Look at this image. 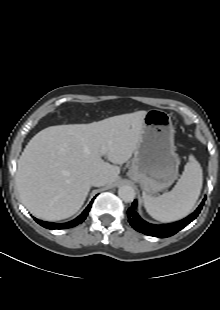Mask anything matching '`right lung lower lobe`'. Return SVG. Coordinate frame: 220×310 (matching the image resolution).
Segmentation results:
<instances>
[{
  "instance_id": "obj_1",
  "label": "right lung lower lobe",
  "mask_w": 220,
  "mask_h": 310,
  "mask_svg": "<svg viewBox=\"0 0 220 310\" xmlns=\"http://www.w3.org/2000/svg\"><path fill=\"white\" fill-rule=\"evenodd\" d=\"M94 199L90 202V204L86 207V209L82 212L81 215H79L76 219L67 222V223H62V224H57V223H51V222H44L41 220H38L36 218L35 221L40 224L41 226L47 228V229H66V228H71L74 227L80 223H82L85 219L86 216L88 215V212L92 206Z\"/></svg>"
}]
</instances>
